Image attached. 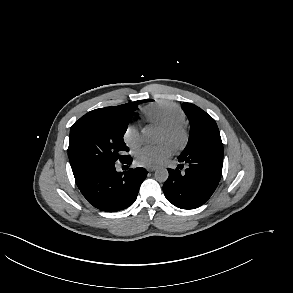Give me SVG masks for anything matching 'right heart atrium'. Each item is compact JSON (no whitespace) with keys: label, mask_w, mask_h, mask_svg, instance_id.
<instances>
[{"label":"right heart atrium","mask_w":293,"mask_h":293,"mask_svg":"<svg viewBox=\"0 0 293 293\" xmlns=\"http://www.w3.org/2000/svg\"><path fill=\"white\" fill-rule=\"evenodd\" d=\"M123 142L130 149H136L142 143V136L139 129L129 124L123 132Z\"/></svg>","instance_id":"right-heart-atrium-1"}]
</instances>
